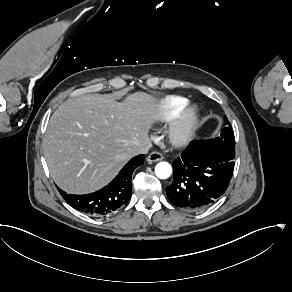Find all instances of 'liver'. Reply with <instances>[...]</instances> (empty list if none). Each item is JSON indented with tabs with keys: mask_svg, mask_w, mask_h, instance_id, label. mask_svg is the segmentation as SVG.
Here are the masks:
<instances>
[{
	"mask_svg": "<svg viewBox=\"0 0 292 292\" xmlns=\"http://www.w3.org/2000/svg\"><path fill=\"white\" fill-rule=\"evenodd\" d=\"M159 119L157 98L141 91L122 102L103 94L67 100L51 116L42 143L52 179L70 194L101 189Z\"/></svg>",
	"mask_w": 292,
	"mask_h": 292,
	"instance_id": "1",
	"label": "liver"
}]
</instances>
